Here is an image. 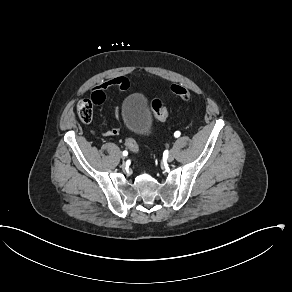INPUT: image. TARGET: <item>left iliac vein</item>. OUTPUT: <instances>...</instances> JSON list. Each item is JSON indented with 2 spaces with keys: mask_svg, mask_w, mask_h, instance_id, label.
Wrapping results in <instances>:
<instances>
[{
  "mask_svg": "<svg viewBox=\"0 0 292 292\" xmlns=\"http://www.w3.org/2000/svg\"><path fill=\"white\" fill-rule=\"evenodd\" d=\"M175 158V154H174V151H170L168 156H167V161L168 162H172Z\"/></svg>",
  "mask_w": 292,
  "mask_h": 292,
  "instance_id": "1",
  "label": "left iliac vein"
}]
</instances>
